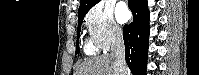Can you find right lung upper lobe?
Returning a JSON list of instances; mask_svg holds the SVG:
<instances>
[{
  "mask_svg": "<svg viewBox=\"0 0 199 75\" xmlns=\"http://www.w3.org/2000/svg\"><path fill=\"white\" fill-rule=\"evenodd\" d=\"M100 0H80L78 17L85 15Z\"/></svg>",
  "mask_w": 199,
  "mask_h": 75,
  "instance_id": "right-lung-upper-lobe-1",
  "label": "right lung upper lobe"
}]
</instances>
